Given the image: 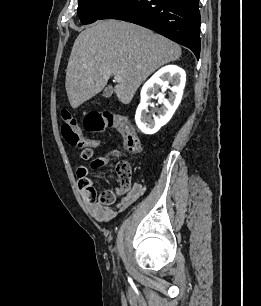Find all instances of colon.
I'll list each match as a JSON object with an SVG mask.
<instances>
[{"label": "colon", "instance_id": "obj_1", "mask_svg": "<svg viewBox=\"0 0 261 306\" xmlns=\"http://www.w3.org/2000/svg\"><path fill=\"white\" fill-rule=\"evenodd\" d=\"M62 125L61 133L65 141L73 146L79 147L83 150V157L91 151L92 140L85 137L76 119L67 110L61 111ZM84 127L88 132L99 133L107 127L115 128L122 136L123 149L131 154L140 152L141 145L136 135V132L131 123L123 116L114 115L111 113L92 112L85 117ZM104 164L103 159L94 162L95 167H101ZM114 173L120 181L122 189H128L131 180V169L127 162L120 161L115 165ZM79 188L89 193V200L91 202H99L104 205H112L116 200V193L108 190L104 191L99 197L96 194L92 183L86 174L78 180Z\"/></svg>", "mask_w": 261, "mask_h": 306}]
</instances>
